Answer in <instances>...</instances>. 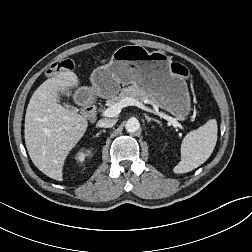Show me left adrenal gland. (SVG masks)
<instances>
[{"label": "left adrenal gland", "instance_id": "1", "mask_svg": "<svg viewBox=\"0 0 252 252\" xmlns=\"http://www.w3.org/2000/svg\"><path fill=\"white\" fill-rule=\"evenodd\" d=\"M145 118H146L148 124L150 122H156L157 124H160V122L157 119L151 118L148 115H145Z\"/></svg>", "mask_w": 252, "mask_h": 252}]
</instances>
